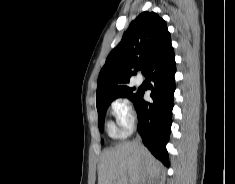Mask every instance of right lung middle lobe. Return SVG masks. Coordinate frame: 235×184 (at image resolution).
Masks as SVG:
<instances>
[{
    "label": "right lung middle lobe",
    "instance_id": "1",
    "mask_svg": "<svg viewBox=\"0 0 235 184\" xmlns=\"http://www.w3.org/2000/svg\"><path fill=\"white\" fill-rule=\"evenodd\" d=\"M134 90L135 88L134 87L132 88L129 85L115 88L112 90V101L119 97H127L133 102L139 94V90L136 93H134ZM109 105L110 104L97 106L98 124H99V129L101 132H103V116ZM101 143H103V141H101Z\"/></svg>",
    "mask_w": 235,
    "mask_h": 184
}]
</instances>
